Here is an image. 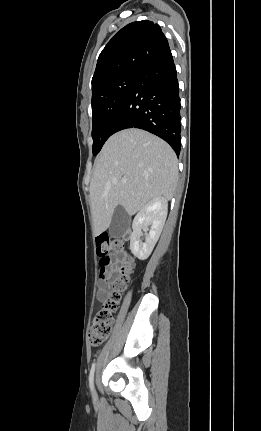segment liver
<instances>
[{"mask_svg": "<svg viewBox=\"0 0 261 431\" xmlns=\"http://www.w3.org/2000/svg\"><path fill=\"white\" fill-rule=\"evenodd\" d=\"M177 164L173 149L147 131L131 128L112 135L95 160L89 188L94 234L107 230L119 205L132 216L155 198L170 200L178 184Z\"/></svg>", "mask_w": 261, "mask_h": 431, "instance_id": "6515ba94", "label": "liver"}]
</instances>
